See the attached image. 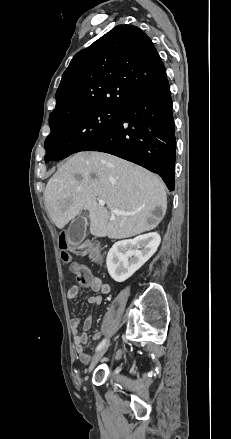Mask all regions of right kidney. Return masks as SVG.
Listing matches in <instances>:
<instances>
[{"mask_svg":"<svg viewBox=\"0 0 231 439\" xmlns=\"http://www.w3.org/2000/svg\"><path fill=\"white\" fill-rule=\"evenodd\" d=\"M161 237L156 232L116 242L108 252L106 265L116 282L131 277L156 252Z\"/></svg>","mask_w":231,"mask_h":439,"instance_id":"right-kidney-1","label":"right kidney"}]
</instances>
